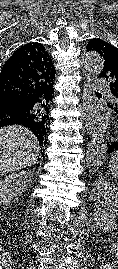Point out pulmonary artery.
<instances>
[{"instance_id": "obj_1", "label": "pulmonary artery", "mask_w": 118, "mask_h": 269, "mask_svg": "<svg viewBox=\"0 0 118 269\" xmlns=\"http://www.w3.org/2000/svg\"><path fill=\"white\" fill-rule=\"evenodd\" d=\"M95 87L99 89H106L108 87V84L106 81L99 79L95 82Z\"/></svg>"}]
</instances>
